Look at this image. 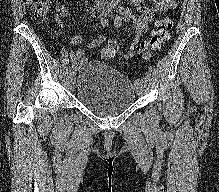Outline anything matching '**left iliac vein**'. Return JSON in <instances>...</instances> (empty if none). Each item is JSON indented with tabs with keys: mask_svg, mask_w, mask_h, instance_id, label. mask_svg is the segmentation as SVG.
<instances>
[{
	"mask_svg": "<svg viewBox=\"0 0 219 192\" xmlns=\"http://www.w3.org/2000/svg\"><path fill=\"white\" fill-rule=\"evenodd\" d=\"M150 84V78L145 76L144 79L139 80L136 83V91L139 95H143L147 92Z\"/></svg>",
	"mask_w": 219,
	"mask_h": 192,
	"instance_id": "4c4485c4",
	"label": "left iliac vein"
}]
</instances>
